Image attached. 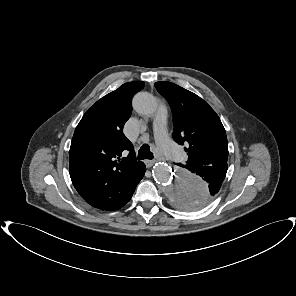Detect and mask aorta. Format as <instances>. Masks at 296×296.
Wrapping results in <instances>:
<instances>
[{
	"instance_id": "762f6f07",
	"label": "aorta",
	"mask_w": 296,
	"mask_h": 296,
	"mask_svg": "<svg viewBox=\"0 0 296 296\" xmlns=\"http://www.w3.org/2000/svg\"><path fill=\"white\" fill-rule=\"evenodd\" d=\"M157 107V100L150 93L139 92L134 96L133 108L141 115H152ZM153 176L162 185L169 201L179 209L193 211L203 204L207 184L187 169L171 170L167 164L159 163L153 169Z\"/></svg>"
}]
</instances>
